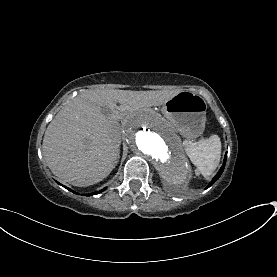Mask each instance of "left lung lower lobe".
<instances>
[{
  "label": "left lung lower lobe",
  "instance_id": "0a47b994",
  "mask_svg": "<svg viewBox=\"0 0 277 277\" xmlns=\"http://www.w3.org/2000/svg\"><path fill=\"white\" fill-rule=\"evenodd\" d=\"M226 158H227V153L225 154L224 162H223V165H222L221 169L219 170L217 175L212 179V181L210 182V184L206 188H209L214 182H216L219 179V177L221 176V174L224 170L225 163H226Z\"/></svg>",
  "mask_w": 277,
  "mask_h": 277
}]
</instances>
